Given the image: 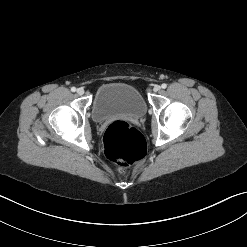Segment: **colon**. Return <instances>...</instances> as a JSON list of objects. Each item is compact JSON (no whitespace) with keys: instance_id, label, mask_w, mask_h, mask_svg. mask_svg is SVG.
<instances>
[{"instance_id":"obj_1","label":"colon","mask_w":247,"mask_h":247,"mask_svg":"<svg viewBox=\"0 0 247 247\" xmlns=\"http://www.w3.org/2000/svg\"><path fill=\"white\" fill-rule=\"evenodd\" d=\"M103 141L107 158L119 168H126L144 157L142 134L125 121L110 124Z\"/></svg>"}]
</instances>
